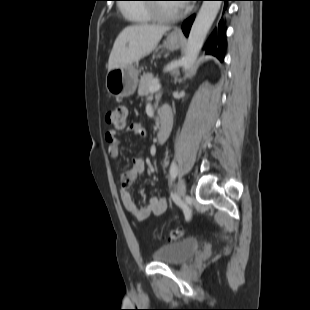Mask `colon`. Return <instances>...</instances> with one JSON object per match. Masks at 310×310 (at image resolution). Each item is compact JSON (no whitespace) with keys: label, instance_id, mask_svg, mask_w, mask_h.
I'll return each instance as SVG.
<instances>
[{"label":"colon","instance_id":"5ec220e1","mask_svg":"<svg viewBox=\"0 0 310 310\" xmlns=\"http://www.w3.org/2000/svg\"><path fill=\"white\" fill-rule=\"evenodd\" d=\"M127 116V108L124 105H118L106 113V121L114 126L116 129L121 130L125 127ZM183 236L181 229H174L168 232V240H178Z\"/></svg>","mask_w":310,"mask_h":310}]
</instances>
